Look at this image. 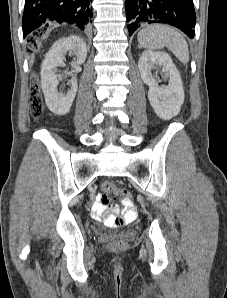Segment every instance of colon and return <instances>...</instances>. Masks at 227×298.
<instances>
[{"label": "colon", "mask_w": 227, "mask_h": 298, "mask_svg": "<svg viewBox=\"0 0 227 298\" xmlns=\"http://www.w3.org/2000/svg\"><path fill=\"white\" fill-rule=\"evenodd\" d=\"M27 43H28V48L30 50L37 47V42L34 37H29L27 40ZM29 105H30V111L33 117L38 118L42 114L43 105H42L41 97L38 92V87L35 83H33L31 86V96L29 99ZM102 188L105 193L100 199V203L105 208L106 212H111L105 217V223L111 227H115L124 223L123 219H119L113 214V212L115 211H114V207L109 204L108 193L124 195V206L132 207L133 201L130 193L127 192L126 190L117 188L111 182H104ZM108 247L113 251H121L126 248V243L122 240H113L108 244Z\"/></svg>", "instance_id": "colon-1"}]
</instances>
